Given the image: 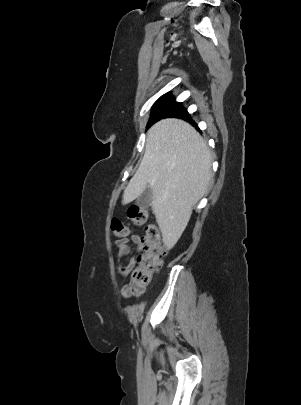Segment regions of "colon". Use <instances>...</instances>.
<instances>
[{
	"label": "colon",
	"mask_w": 301,
	"mask_h": 405,
	"mask_svg": "<svg viewBox=\"0 0 301 405\" xmlns=\"http://www.w3.org/2000/svg\"><path fill=\"white\" fill-rule=\"evenodd\" d=\"M147 219L148 212L144 208L133 206L128 209L127 220L133 226H142ZM111 230L117 237H125L130 233L129 227L118 219L112 221ZM141 243L128 285L129 293L132 294H141L147 288L154 274L161 269L163 257L166 254L161 233L155 223L145 226Z\"/></svg>",
	"instance_id": "1"
}]
</instances>
